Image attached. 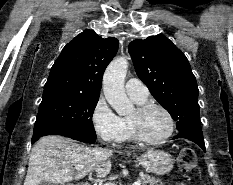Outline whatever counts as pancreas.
Returning <instances> with one entry per match:
<instances>
[{"mask_svg": "<svg viewBox=\"0 0 233 185\" xmlns=\"http://www.w3.org/2000/svg\"><path fill=\"white\" fill-rule=\"evenodd\" d=\"M139 181L142 185H164L159 178L150 176L149 174H143L139 177Z\"/></svg>", "mask_w": 233, "mask_h": 185, "instance_id": "pancreas-1", "label": "pancreas"}]
</instances>
